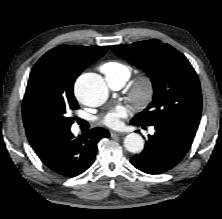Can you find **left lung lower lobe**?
Returning <instances> with one entry per match:
<instances>
[{"mask_svg":"<svg viewBox=\"0 0 222 219\" xmlns=\"http://www.w3.org/2000/svg\"><path fill=\"white\" fill-rule=\"evenodd\" d=\"M131 124L142 125L132 121ZM153 126L156 133L148 136L144 150L133 156L130 162L142 172L160 174L172 169L183 159L197 130L176 121H164Z\"/></svg>","mask_w":222,"mask_h":219,"instance_id":"1","label":"left lung lower lobe"}]
</instances>
